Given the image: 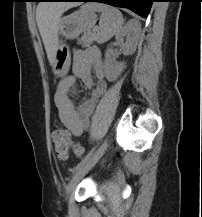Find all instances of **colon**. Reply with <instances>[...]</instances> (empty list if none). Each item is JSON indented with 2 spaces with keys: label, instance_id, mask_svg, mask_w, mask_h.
<instances>
[{
  "label": "colon",
  "instance_id": "colon-1",
  "mask_svg": "<svg viewBox=\"0 0 202 217\" xmlns=\"http://www.w3.org/2000/svg\"><path fill=\"white\" fill-rule=\"evenodd\" d=\"M51 137L55 154L60 160L64 161L68 158L70 149L78 157L83 155V147L80 143L71 140L69 132L64 126L56 125L52 130Z\"/></svg>",
  "mask_w": 202,
  "mask_h": 217
}]
</instances>
